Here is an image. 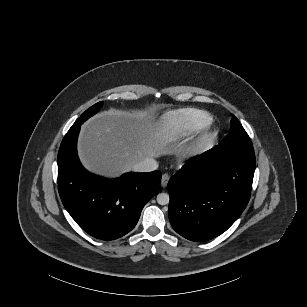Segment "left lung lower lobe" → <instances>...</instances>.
I'll return each instance as SVG.
<instances>
[{"mask_svg":"<svg viewBox=\"0 0 307 307\" xmlns=\"http://www.w3.org/2000/svg\"><path fill=\"white\" fill-rule=\"evenodd\" d=\"M254 171L253 149L216 146L187 162L168 182L173 229L196 242L225 232L248 204Z\"/></svg>","mask_w":307,"mask_h":307,"instance_id":"1","label":"left lung lower lobe"}]
</instances>
